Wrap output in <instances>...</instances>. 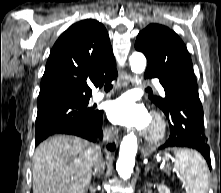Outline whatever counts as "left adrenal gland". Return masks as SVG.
Instances as JSON below:
<instances>
[{
	"label": "left adrenal gland",
	"instance_id": "obj_1",
	"mask_svg": "<svg viewBox=\"0 0 221 193\" xmlns=\"http://www.w3.org/2000/svg\"><path fill=\"white\" fill-rule=\"evenodd\" d=\"M149 170H150V167L147 166V167L145 168V173L149 172Z\"/></svg>",
	"mask_w": 221,
	"mask_h": 193
}]
</instances>
